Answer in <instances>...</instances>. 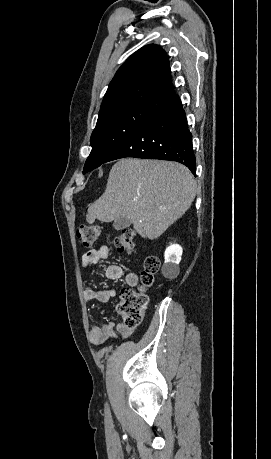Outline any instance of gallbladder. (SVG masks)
Masks as SVG:
<instances>
[{
  "label": "gallbladder",
  "mask_w": 271,
  "mask_h": 459,
  "mask_svg": "<svg viewBox=\"0 0 271 459\" xmlns=\"http://www.w3.org/2000/svg\"><path fill=\"white\" fill-rule=\"evenodd\" d=\"M129 226H131V220H127V218H119V220H114L113 228L115 229L129 228Z\"/></svg>",
  "instance_id": "bac80fb5"
}]
</instances>
